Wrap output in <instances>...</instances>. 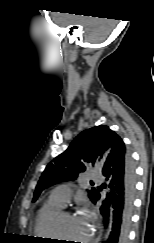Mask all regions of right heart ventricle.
<instances>
[{
  "instance_id": "1",
  "label": "right heart ventricle",
  "mask_w": 154,
  "mask_h": 243,
  "mask_svg": "<svg viewBox=\"0 0 154 243\" xmlns=\"http://www.w3.org/2000/svg\"><path fill=\"white\" fill-rule=\"evenodd\" d=\"M62 207L51 200H48L39 210L35 224L34 232L36 236L43 239H56L54 236L53 222Z\"/></svg>"
}]
</instances>
